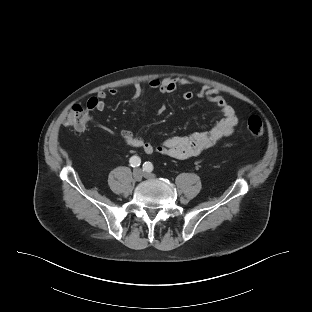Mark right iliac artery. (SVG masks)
I'll return each instance as SVG.
<instances>
[{"instance_id": "82829eb1", "label": "right iliac artery", "mask_w": 312, "mask_h": 312, "mask_svg": "<svg viewBox=\"0 0 312 312\" xmlns=\"http://www.w3.org/2000/svg\"><path fill=\"white\" fill-rule=\"evenodd\" d=\"M129 162L132 167H138L141 164V159L138 156H132Z\"/></svg>"}]
</instances>
